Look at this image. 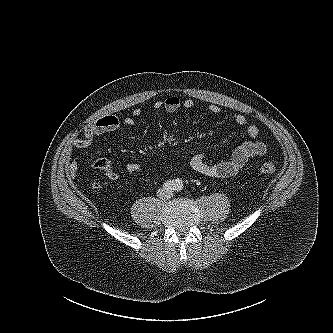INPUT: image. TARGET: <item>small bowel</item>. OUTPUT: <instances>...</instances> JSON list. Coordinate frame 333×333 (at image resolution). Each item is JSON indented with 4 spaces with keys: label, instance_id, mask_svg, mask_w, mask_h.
Instances as JSON below:
<instances>
[{
    "label": "small bowel",
    "instance_id": "small-bowel-1",
    "mask_svg": "<svg viewBox=\"0 0 333 333\" xmlns=\"http://www.w3.org/2000/svg\"><path fill=\"white\" fill-rule=\"evenodd\" d=\"M156 110H166L169 113H174L181 108L191 110L194 108V102L191 99H180L177 96H169L165 100H158L154 103ZM210 113L214 115L221 114L222 110L219 106L211 104L208 107ZM142 110L136 108L132 111L131 116L120 118L117 116H105L89 123L85 129L83 136L76 138L73 145L77 149H85L89 147L94 138L108 132L116 131L122 126L134 125L137 118L141 117ZM234 122L241 128L246 130L249 140L237 146L228 160L217 163H207L204 153L193 155L189 161L190 168L199 174L215 177L228 178L237 175L246 163L255 157H261L266 154L267 146L260 140L261 131L259 127L242 114L234 116ZM93 167L104 173L109 180H117L119 175L112 164L105 158H97L93 161ZM143 170L139 163H129L125 166V172L138 173ZM78 172V163L72 160L66 165V173L69 177H75Z\"/></svg>",
    "mask_w": 333,
    "mask_h": 333
}]
</instances>
